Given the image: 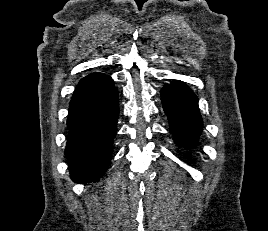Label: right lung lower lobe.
<instances>
[{
    "label": "right lung lower lobe",
    "instance_id": "98d812e1",
    "mask_svg": "<svg viewBox=\"0 0 268 231\" xmlns=\"http://www.w3.org/2000/svg\"><path fill=\"white\" fill-rule=\"evenodd\" d=\"M118 115V92L110 76L93 73L79 81L69 103L65 149L74 182H96L106 172Z\"/></svg>",
    "mask_w": 268,
    "mask_h": 231
}]
</instances>
